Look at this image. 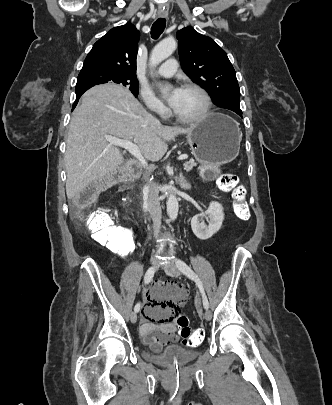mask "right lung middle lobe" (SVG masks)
<instances>
[{
    "instance_id": "right-lung-middle-lobe-1",
    "label": "right lung middle lobe",
    "mask_w": 332,
    "mask_h": 405,
    "mask_svg": "<svg viewBox=\"0 0 332 405\" xmlns=\"http://www.w3.org/2000/svg\"><path fill=\"white\" fill-rule=\"evenodd\" d=\"M103 83H116L127 87L135 97L138 96V80L136 76L125 75L106 70H95L79 73L76 93L85 92L89 88Z\"/></svg>"
}]
</instances>
